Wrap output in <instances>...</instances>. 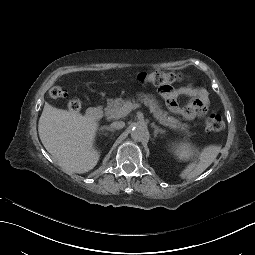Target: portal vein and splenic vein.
I'll return each instance as SVG.
<instances>
[{
	"label": "portal vein and splenic vein",
	"mask_w": 255,
	"mask_h": 255,
	"mask_svg": "<svg viewBox=\"0 0 255 255\" xmlns=\"http://www.w3.org/2000/svg\"><path fill=\"white\" fill-rule=\"evenodd\" d=\"M141 108V105H139L137 102H127L123 105L122 111L124 115H127L132 109Z\"/></svg>",
	"instance_id": "18ae733b"
}]
</instances>
